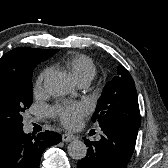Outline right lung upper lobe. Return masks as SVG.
<instances>
[{
	"label": "right lung upper lobe",
	"instance_id": "obj_1",
	"mask_svg": "<svg viewBox=\"0 0 168 168\" xmlns=\"http://www.w3.org/2000/svg\"><path fill=\"white\" fill-rule=\"evenodd\" d=\"M57 49L15 48L0 58V91L7 89L13 79L30 66L48 59Z\"/></svg>",
	"mask_w": 168,
	"mask_h": 168
}]
</instances>
